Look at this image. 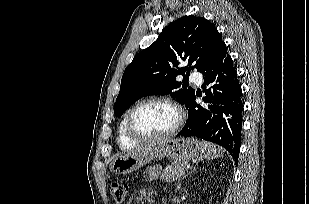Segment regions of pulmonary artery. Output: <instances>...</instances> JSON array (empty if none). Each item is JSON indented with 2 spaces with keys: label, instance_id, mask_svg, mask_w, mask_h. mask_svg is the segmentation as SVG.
Masks as SVG:
<instances>
[{
  "label": "pulmonary artery",
  "instance_id": "e3ab8cb5",
  "mask_svg": "<svg viewBox=\"0 0 309 204\" xmlns=\"http://www.w3.org/2000/svg\"><path fill=\"white\" fill-rule=\"evenodd\" d=\"M190 79L198 85L202 83V75L200 72H192L190 75Z\"/></svg>",
  "mask_w": 309,
  "mask_h": 204
}]
</instances>
